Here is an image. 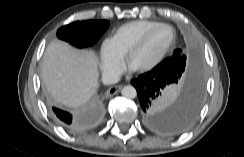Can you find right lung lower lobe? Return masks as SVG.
<instances>
[{"mask_svg": "<svg viewBox=\"0 0 244 157\" xmlns=\"http://www.w3.org/2000/svg\"><path fill=\"white\" fill-rule=\"evenodd\" d=\"M53 112L57 121L67 130L73 132H80L84 129V123L78 116L62 111L53 107Z\"/></svg>", "mask_w": 244, "mask_h": 157, "instance_id": "obj_1", "label": "right lung lower lobe"}]
</instances>
